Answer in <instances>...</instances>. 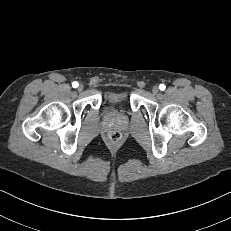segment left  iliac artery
Instances as JSON below:
<instances>
[{"label":"left iliac artery","mask_w":231,"mask_h":231,"mask_svg":"<svg viewBox=\"0 0 231 231\" xmlns=\"http://www.w3.org/2000/svg\"><path fill=\"white\" fill-rule=\"evenodd\" d=\"M165 88H166V86H165L164 84H160L159 89H160L161 91L165 90Z\"/></svg>","instance_id":"44dca946"}]
</instances>
